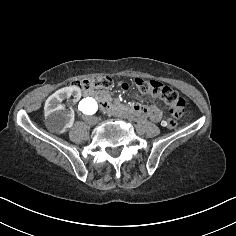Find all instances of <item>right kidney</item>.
<instances>
[{"label":"right kidney","instance_id":"obj_1","mask_svg":"<svg viewBox=\"0 0 236 236\" xmlns=\"http://www.w3.org/2000/svg\"><path fill=\"white\" fill-rule=\"evenodd\" d=\"M81 91L76 86L65 87L49 97L45 107L44 126L50 132L64 134L75 121L73 109L78 105Z\"/></svg>","mask_w":236,"mask_h":236}]
</instances>
